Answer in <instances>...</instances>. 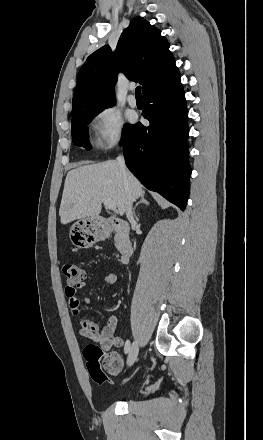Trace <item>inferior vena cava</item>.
I'll use <instances>...</instances> for the list:
<instances>
[{"mask_svg":"<svg viewBox=\"0 0 263 440\" xmlns=\"http://www.w3.org/2000/svg\"><path fill=\"white\" fill-rule=\"evenodd\" d=\"M118 163L120 165V169L123 173L124 179L126 181V185H127V176H128V170L126 168L125 165V160L123 156H119L117 158ZM133 196L128 188V186L126 187V216L128 218V220L132 223L134 221L133 219V213H132V203H133Z\"/></svg>","mask_w":263,"mask_h":440,"instance_id":"obj_1","label":"inferior vena cava"}]
</instances>
